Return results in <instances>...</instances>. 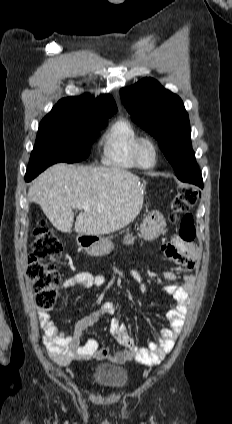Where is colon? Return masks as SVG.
<instances>
[{"label": "colon", "instance_id": "1", "mask_svg": "<svg viewBox=\"0 0 232 424\" xmlns=\"http://www.w3.org/2000/svg\"><path fill=\"white\" fill-rule=\"evenodd\" d=\"M199 198V191L189 186H180L173 196L170 219L175 222L183 214L180 219L179 237L184 241L191 242L195 239L194 219L188 211L197 204ZM62 256L60 239L45 224H39L35 230L26 274L33 283L36 305L40 309L49 310L57 301L60 276L54 265Z\"/></svg>", "mask_w": 232, "mask_h": 424}]
</instances>
